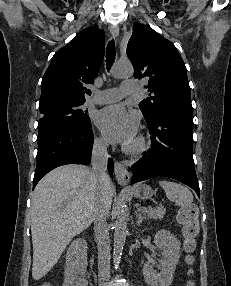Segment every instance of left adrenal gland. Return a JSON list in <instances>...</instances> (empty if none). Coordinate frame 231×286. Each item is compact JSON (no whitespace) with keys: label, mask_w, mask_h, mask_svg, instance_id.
<instances>
[{"label":"left adrenal gland","mask_w":231,"mask_h":286,"mask_svg":"<svg viewBox=\"0 0 231 286\" xmlns=\"http://www.w3.org/2000/svg\"><path fill=\"white\" fill-rule=\"evenodd\" d=\"M136 217H137L136 225L138 226L142 223L144 219H146V217L142 216V213L140 211L136 213Z\"/></svg>","instance_id":"1"}]
</instances>
